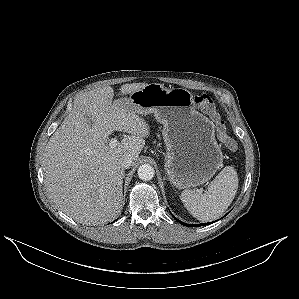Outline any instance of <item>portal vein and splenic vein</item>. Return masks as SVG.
<instances>
[{"instance_id":"1","label":"portal vein and splenic vein","mask_w":299,"mask_h":299,"mask_svg":"<svg viewBox=\"0 0 299 299\" xmlns=\"http://www.w3.org/2000/svg\"><path fill=\"white\" fill-rule=\"evenodd\" d=\"M118 145V140L116 138H112L109 142L110 148H115Z\"/></svg>"}]
</instances>
